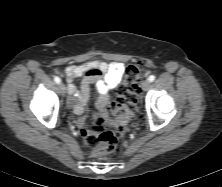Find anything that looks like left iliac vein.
<instances>
[{
	"mask_svg": "<svg viewBox=\"0 0 222 187\" xmlns=\"http://www.w3.org/2000/svg\"><path fill=\"white\" fill-rule=\"evenodd\" d=\"M150 87V81L149 80H144L142 82L141 88L143 91H147Z\"/></svg>",
	"mask_w": 222,
	"mask_h": 187,
	"instance_id": "obj_1",
	"label": "left iliac vein"
}]
</instances>
